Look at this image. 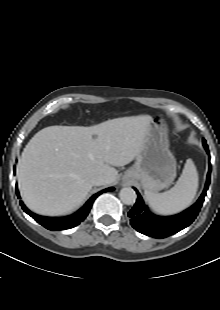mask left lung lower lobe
<instances>
[{
	"label": "left lung lower lobe",
	"mask_w": 220,
	"mask_h": 310,
	"mask_svg": "<svg viewBox=\"0 0 220 310\" xmlns=\"http://www.w3.org/2000/svg\"><path fill=\"white\" fill-rule=\"evenodd\" d=\"M204 147L208 153V146L205 145ZM210 177L211 165L208 169L207 180L203 193L198 201L182 213L169 217H161L152 214L148 207L144 204L138 191H136L138 198L135 205L128 213V216L131 218L130 224L138 232L154 238H166L186 228L195 220L202 207L206 191L210 184Z\"/></svg>",
	"instance_id": "obj_1"
}]
</instances>
